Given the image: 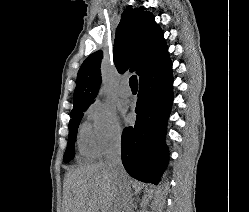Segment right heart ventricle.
Wrapping results in <instances>:
<instances>
[{"mask_svg":"<svg viewBox=\"0 0 249 212\" xmlns=\"http://www.w3.org/2000/svg\"><path fill=\"white\" fill-rule=\"evenodd\" d=\"M77 147L82 156L93 157L94 153L88 141V128L81 126L77 135Z\"/></svg>","mask_w":249,"mask_h":212,"instance_id":"right-heart-ventricle-1","label":"right heart ventricle"}]
</instances>
